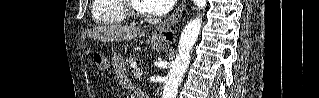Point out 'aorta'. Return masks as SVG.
Listing matches in <instances>:
<instances>
[{
    "label": "aorta",
    "instance_id": "762f6f07",
    "mask_svg": "<svg viewBox=\"0 0 319 98\" xmlns=\"http://www.w3.org/2000/svg\"><path fill=\"white\" fill-rule=\"evenodd\" d=\"M199 9H204L207 0H193ZM202 19L196 17L188 22L182 31L178 45V54L167 76L162 98H176L178 87L189 66L191 50L200 34Z\"/></svg>",
    "mask_w": 319,
    "mask_h": 98
}]
</instances>
